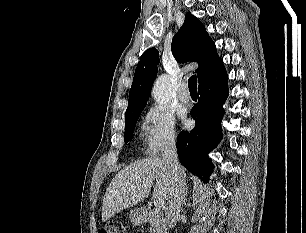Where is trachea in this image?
Returning a JSON list of instances; mask_svg holds the SVG:
<instances>
[{
  "mask_svg": "<svg viewBox=\"0 0 306 233\" xmlns=\"http://www.w3.org/2000/svg\"><path fill=\"white\" fill-rule=\"evenodd\" d=\"M188 87L190 92H197V77L193 75L188 80Z\"/></svg>",
  "mask_w": 306,
  "mask_h": 233,
  "instance_id": "1",
  "label": "trachea"
}]
</instances>
